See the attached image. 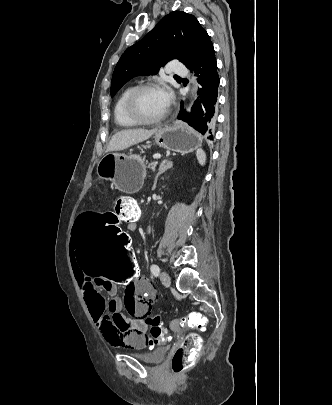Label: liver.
Instances as JSON below:
<instances>
[{
  "label": "liver",
  "mask_w": 332,
  "mask_h": 405,
  "mask_svg": "<svg viewBox=\"0 0 332 405\" xmlns=\"http://www.w3.org/2000/svg\"><path fill=\"white\" fill-rule=\"evenodd\" d=\"M158 131L153 129H130L122 130L114 134L107 146V151H119L149 139Z\"/></svg>",
  "instance_id": "1"
}]
</instances>
